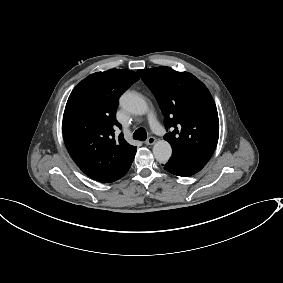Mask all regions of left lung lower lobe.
Returning a JSON list of instances; mask_svg holds the SVG:
<instances>
[{
    "instance_id": "0a47b994",
    "label": "left lung lower lobe",
    "mask_w": 283,
    "mask_h": 283,
    "mask_svg": "<svg viewBox=\"0 0 283 283\" xmlns=\"http://www.w3.org/2000/svg\"><path fill=\"white\" fill-rule=\"evenodd\" d=\"M205 164L195 162L180 156L172 155L164 169L177 176H191L199 172Z\"/></svg>"
}]
</instances>
